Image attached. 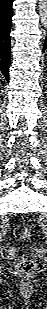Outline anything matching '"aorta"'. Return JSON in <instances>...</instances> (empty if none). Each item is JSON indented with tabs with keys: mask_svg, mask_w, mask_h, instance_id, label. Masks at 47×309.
<instances>
[{
	"mask_svg": "<svg viewBox=\"0 0 47 309\" xmlns=\"http://www.w3.org/2000/svg\"><path fill=\"white\" fill-rule=\"evenodd\" d=\"M47 0H42L41 8H40V14H41V20L42 23H46V17H47Z\"/></svg>",
	"mask_w": 47,
	"mask_h": 309,
	"instance_id": "762f6f07",
	"label": "aorta"
}]
</instances>
